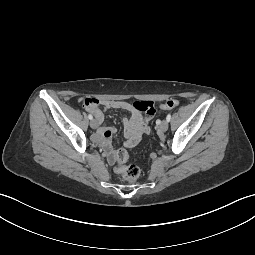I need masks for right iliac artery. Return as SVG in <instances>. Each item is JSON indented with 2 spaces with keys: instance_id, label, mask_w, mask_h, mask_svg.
Returning a JSON list of instances; mask_svg holds the SVG:
<instances>
[{
  "instance_id": "1",
  "label": "right iliac artery",
  "mask_w": 255,
  "mask_h": 255,
  "mask_svg": "<svg viewBox=\"0 0 255 255\" xmlns=\"http://www.w3.org/2000/svg\"><path fill=\"white\" fill-rule=\"evenodd\" d=\"M88 118H89L90 120H92V119H93V116H92L91 114H89V115H88Z\"/></svg>"
}]
</instances>
